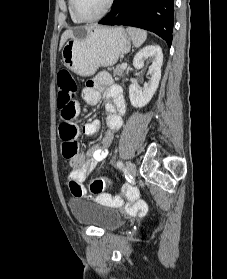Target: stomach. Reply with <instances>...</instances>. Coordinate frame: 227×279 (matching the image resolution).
<instances>
[{
  "mask_svg": "<svg viewBox=\"0 0 227 279\" xmlns=\"http://www.w3.org/2000/svg\"><path fill=\"white\" fill-rule=\"evenodd\" d=\"M62 48L65 67L80 76H91L99 67L113 66L131 49V38L121 27L79 28Z\"/></svg>",
  "mask_w": 227,
  "mask_h": 279,
  "instance_id": "1",
  "label": "stomach"
}]
</instances>
